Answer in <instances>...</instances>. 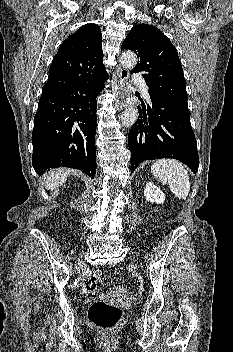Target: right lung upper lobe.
Returning a JSON list of instances; mask_svg holds the SVG:
<instances>
[{
	"label": "right lung upper lobe",
	"instance_id": "cb5924a9",
	"mask_svg": "<svg viewBox=\"0 0 233 352\" xmlns=\"http://www.w3.org/2000/svg\"><path fill=\"white\" fill-rule=\"evenodd\" d=\"M104 71L101 29L94 23L85 24L61 44L42 92L66 89Z\"/></svg>",
	"mask_w": 233,
	"mask_h": 352
}]
</instances>
